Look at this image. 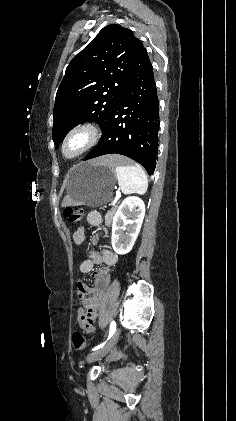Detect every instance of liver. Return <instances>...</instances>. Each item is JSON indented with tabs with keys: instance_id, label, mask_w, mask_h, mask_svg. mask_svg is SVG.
<instances>
[{
	"instance_id": "liver-1",
	"label": "liver",
	"mask_w": 236,
	"mask_h": 421,
	"mask_svg": "<svg viewBox=\"0 0 236 421\" xmlns=\"http://www.w3.org/2000/svg\"><path fill=\"white\" fill-rule=\"evenodd\" d=\"M97 162H100V164H109V166H116L117 162H125V158L118 156V154H111V156H101ZM68 204H71V198L69 194H66L62 200V206H68Z\"/></svg>"
}]
</instances>
